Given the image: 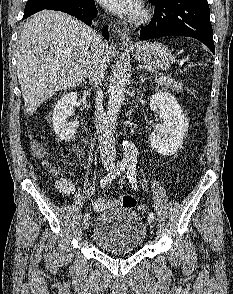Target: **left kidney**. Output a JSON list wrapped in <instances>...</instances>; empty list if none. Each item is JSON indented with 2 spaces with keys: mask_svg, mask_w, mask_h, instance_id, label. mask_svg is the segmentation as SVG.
Listing matches in <instances>:
<instances>
[{
  "mask_svg": "<svg viewBox=\"0 0 233 294\" xmlns=\"http://www.w3.org/2000/svg\"><path fill=\"white\" fill-rule=\"evenodd\" d=\"M150 109H160L162 124L153 125L150 144L162 155H173L183 142L189 123L175 97L166 91H157L151 96Z\"/></svg>",
  "mask_w": 233,
  "mask_h": 294,
  "instance_id": "obj_1",
  "label": "left kidney"
}]
</instances>
